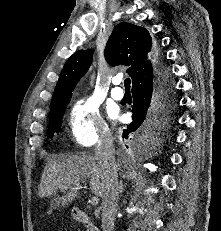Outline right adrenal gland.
I'll return each instance as SVG.
<instances>
[{
  "label": "right adrenal gland",
  "instance_id": "right-adrenal-gland-1",
  "mask_svg": "<svg viewBox=\"0 0 221 231\" xmlns=\"http://www.w3.org/2000/svg\"><path fill=\"white\" fill-rule=\"evenodd\" d=\"M119 189H120L119 192L122 193L123 192V184H122V182H120Z\"/></svg>",
  "mask_w": 221,
  "mask_h": 231
}]
</instances>
